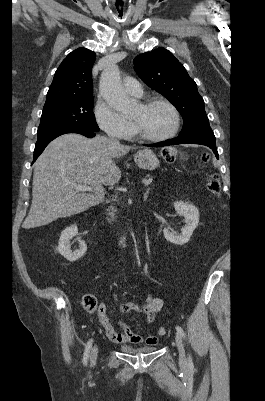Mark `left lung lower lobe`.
Returning <instances> with one entry per match:
<instances>
[{
    "instance_id": "1",
    "label": "left lung lower lobe",
    "mask_w": 265,
    "mask_h": 401,
    "mask_svg": "<svg viewBox=\"0 0 265 401\" xmlns=\"http://www.w3.org/2000/svg\"><path fill=\"white\" fill-rule=\"evenodd\" d=\"M177 144H200L205 145L211 148L218 158V152L215 143V136L210 128V126L200 128L198 130L188 132L186 134H180L177 138L169 139L166 141H162L156 144H150L147 146H169V145H177Z\"/></svg>"
}]
</instances>
